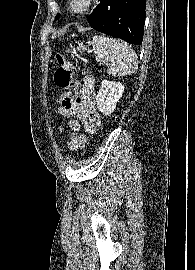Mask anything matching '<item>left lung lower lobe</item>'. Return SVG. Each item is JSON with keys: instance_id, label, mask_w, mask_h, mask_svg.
<instances>
[{"instance_id": "0a47b994", "label": "left lung lower lobe", "mask_w": 195, "mask_h": 270, "mask_svg": "<svg viewBox=\"0 0 195 270\" xmlns=\"http://www.w3.org/2000/svg\"><path fill=\"white\" fill-rule=\"evenodd\" d=\"M88 16L97 31L131 44H142L146 0H99Z\"/></svg>"}]
</instances>
